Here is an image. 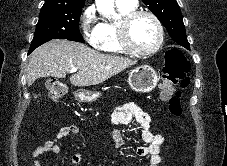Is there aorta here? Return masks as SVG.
<instances>
[{
  "mask_svg": "<svg viewBox=\"0 0 227 166\" xmlns=\"http://www.w3.org/2000/svg\"><path fill=\"white\" fill-rule=\"evenodd\" d=\"M97 10L107 18H115L114 0H95Z\"/></svg>",
  "mask_w": 227,
  "mask_h": 166,
  "instance_id": "aorta-1",
  "label": "aorta"
}]
</instances>
